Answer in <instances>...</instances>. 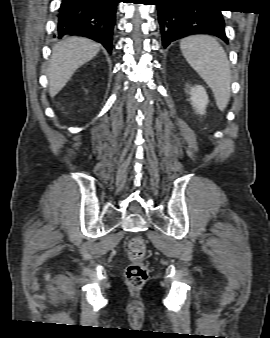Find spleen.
<instances>
[{
    "label": "spleen",
    "instance_id": "1",
    "mask_svg": "<svg viewBox=\"0 0 270 338\" xmlns=\"http://www.w3.org/2000/svg\"><path fill=\"white\" fill-rule=\"evenodd\" d=\"M186 61L212 90L217 107L223 111L230 99L231 70L218 41L208 35H193L180 41Z\"/></svg>",
    "mask_w": 270,
    "mask_h": 338
}]
</instances>
